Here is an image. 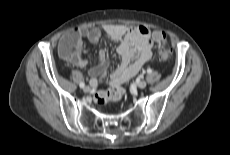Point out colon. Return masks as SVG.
Returning a JSON list of instances; mask_svg holds the SVG:
<instances>
[{"label":"colon","mask_w":230,"mask_h":155,"mask_svg":"<svg viewBox=\"0 0 230 155\" xmlns=\"http://www.w3.org/2000/svg\"><path fill=\"white\" fill-rule=\"evenodd\" d=\"M154 37L159 49V58L161 61L168 60L170 50L166 47V35L162 31H156ZM79 44V38L75 34L65 36L60 45V52L65 58L74 56ZM123 96V90L119 86H114L109 90L98 91L95 93L94 100L100 106L119 101Z\"/></svg>","instance_id":"5ec220e1"}]
</instances>
